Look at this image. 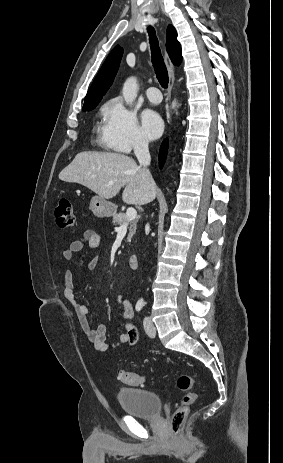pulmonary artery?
Wrapping results in <instances>:
<instances>
[{"label": "pulmonary artery", "mask_w": 283, "mask_h": 463, "mask_svg": "<svg viewBox=\"0 0 283 463\" xmlns=\"http://www.w3.org/2000/svg\"><path fill=\"white\" fill-rule=\"evenodd\" d=\"M146 96L151 103L158 104L162 100L161 93L156 87H149L146 90Z\"/></svg>", "instance_id": "obj_1"}]
</instances>
